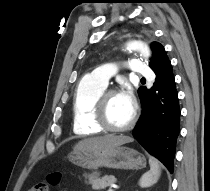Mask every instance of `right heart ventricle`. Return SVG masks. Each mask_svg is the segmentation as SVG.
I'll use <instances>...</instances> for the list:
<instances>
[{"label": "right heart ventricle", "instance_id": "right-heart-ventricle-1", "mask_svg": "<svg viewBox=\"0 0 210 191\" xmlns=\"http://www.w3.org/2000/svg\"><path fill=\"white\" fill-rule=\"evenodd\" d=\"M105 88L89 78H83L77 85L73 98V132L76 135L86 137L103 131L93 121V108Z\"/></svg>", "mask_w": 210, "mask_h": 191}]
</instances>
